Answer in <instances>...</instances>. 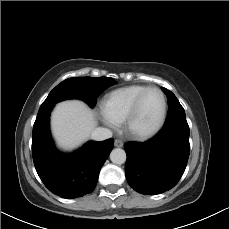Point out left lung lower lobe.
<instances>
[{"mask_svg": "<svg viewBox=\"0 0 229 229\" xmlns=\"http://www.w3.org/2000/svg\"><path fill=\"white\" fill-rule=\"evenodd\" d=\"M124 147L128 184L141 194L163 193L173 188L185 171L190 153L188 123L165 124L151 140L129 142Z\"/></svg>", "mask_w": 229, "mask_h": 229, "instance_id": "left-lung-lower-lobe-1", "label": "left lung lower lobe"}]
</instances>
